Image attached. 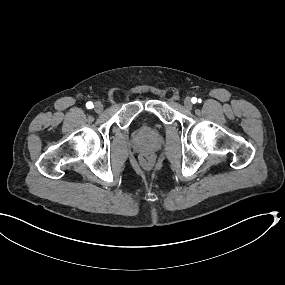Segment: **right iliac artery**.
Wrapping results in <instances>:
<instances>
[{"mask_svg":"<svg viewBox=\"0 0 285 285\" xmlns=\"http://www.w3.org/2000/svg\"><path fill=\"white\" fill-rule=\"evenodd\" d=\"M86 107L88 108V109H91V108H93V103L92 102H87L86 103Z\"/></svg>","mask_w":285,"mask_h":285,"instance_id":"82829eb1","label":"right iliac artery"}]
</instances>
